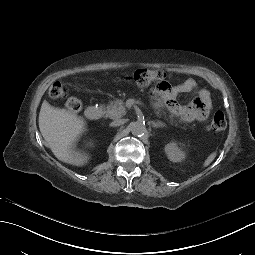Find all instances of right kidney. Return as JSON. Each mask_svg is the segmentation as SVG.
Masks as SVG:
<instances>
[{
	"label": "right kidney",
	"mask_w": 255,
	"mask_h": 255,
	"mask_svg": "<svg viewBox=\"0 0 255 255\" xmlns=\"http://www.w3.org/2000/svg\"><path fill=\"white\" fill-rule=\"evenodd\" d=\"M92 145H93L92 142H88V143H87V146H92Z\"/></svg>",
	"instance_id": "obj_1"
}]
</instances>
